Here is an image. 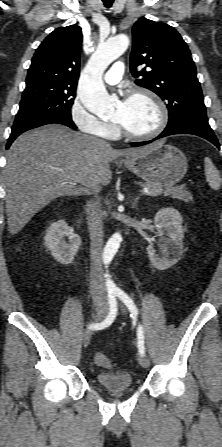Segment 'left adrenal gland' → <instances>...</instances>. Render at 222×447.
<instances>
[{"label":"left adrenal gland","instance_id":"1","mask_svg":"<svg viewBox=\"0 0 222 447\" xmlns=\"http://www.w3.org/2000/svg\"><path fill=\"white\" fill-rule=\"evenodd\" d=\"M139 198H140V196H137L134 198L133 203H132V208H136Z\"/></svg>","mask_w":222,"mask_h":447}]
</instances>
